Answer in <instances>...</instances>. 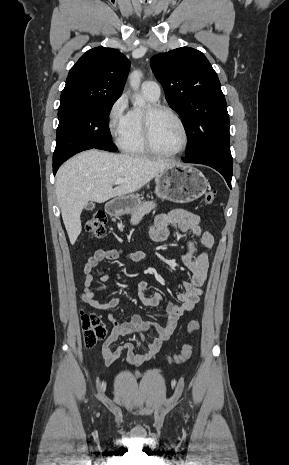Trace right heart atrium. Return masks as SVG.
Segmentation results:
<instances>
[{"label":"right heart atrium","mask_w":289,"mask_h":465,"mask_svg":"<svg viewBox=\"0 0 289 465\" xmlns=\"http://www.w3.org/2000/svg\"><path fill=\"white\" fill-rule=\"evenodd\" d=\"M128 117V99L122 94L114 101L108 112V129L117 142H120L126 133Z\"/></svg>","instance_id":"1"}]
</instances>
